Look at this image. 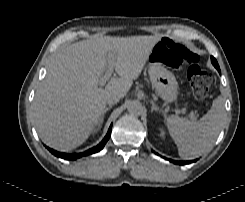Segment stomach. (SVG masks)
I'll list each match as a JSON object with an SVG mask.
<instances>
[{
  "instance_id": "stomach-1",
  "label": "stomach",
  "mask_w": 245,
  "mask_h": 202,
  "mask_svg": "<svg viewBox=\"0 0 245 202\" xmlns=\"http://www.w3.org/2000/svg\"><path fill=\"white\" fill-rule=\"evenodd\" d=\"M149 76L156 94L166 103H172L177 98V81L162 59L157 44L149 55Z\"/></svg>"
}]
</instances>
